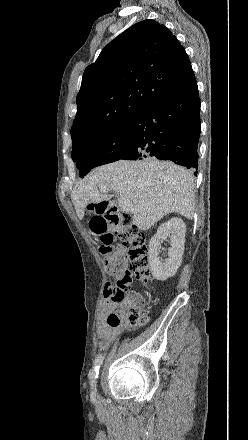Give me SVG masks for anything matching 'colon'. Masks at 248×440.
<instances>
[{
	"mask_svg": "<svg viewBox=\"0 0 248 440\" xmlns=\"http://www.w3.org/2000/svg\"><path fill=\"white\" fill-rule=\"evenodd\" d=\"M96 218H110L111 228L120 240L118 245L103 241L100 249L105 257L106 272L117 277L115 282L104 286L105 304L123 309L122 316L110 312L106 317L107 324L119 326L121 317H125L129 326H143L147 322L143 312L145 301L139 294L130 293L129 289L133 276L145 285L152 279L144 236L132 223L130 215L118 212L113 205L102 206V215Z\"/></svg>",
	"mask_w": 248,
	"mask_h": 440,
	"instance_id": "obj_1",
	"label": "colon"
}]
</instances>
